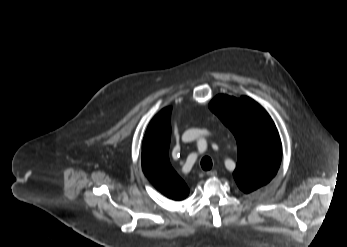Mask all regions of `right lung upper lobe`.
<instances>
[{
	"mask_svg": "<svg viewBox=\"0 0 347 247\" xmlns=\"http://www.w3.org/2000/svg\"><path fill=\"white\" fill-rule=\"evenodd\" d=\"M170 114L171 107H166L150 122L142 145V168L161 193L179 201L189 194V189L169 162Z\"/></svg>",
	"mask_w": 347,
	"mask_h": 247,
	"instance_id": "right-lung-upper-lobe-1",
	"label": "right lung upper lobe"
}]
</instances>
